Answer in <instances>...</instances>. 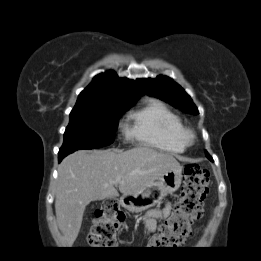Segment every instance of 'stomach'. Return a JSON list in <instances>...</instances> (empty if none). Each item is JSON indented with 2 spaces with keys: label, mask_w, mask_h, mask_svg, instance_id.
<instances>
[{
  "label": "stomach",
  "mask_w": 261,
  "mask_h": 261,
  "mask_svg": "<svg viewBox=\"0 0 261 261\" xmlns=\"http://www.w3.org/2000/svg\"><path fill=\"white\" fill-rule=\"evenodd\" d=\"M182 167L164 173L156 182L135 194H124L121 205L130 212H142L160 203L168 194H172L181 185Z\"/></svg>",
  "instance_id": "obj_1"
}]
</instances>
